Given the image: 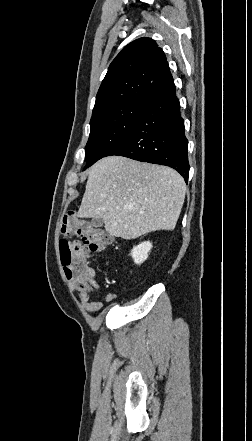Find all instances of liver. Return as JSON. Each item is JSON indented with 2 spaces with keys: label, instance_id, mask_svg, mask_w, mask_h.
Listing matches in <instances>:
<instances>
[{
  "label": "liver",
  "instance_id": "obj_1",
  "mask_svg": "<svg viewBox=\"0 0 252 441\" xmlns=\"http://www.w3.org/2000/svg\"><path fill=\"white\" fill-rule=\"evenodd\" d=\"M186 193L174 169L109 156L89 170L77 216L101 218L114 237L135 239L156 230H173Z\"/></svg>",
  "mask_w": 252,
  "mask_h": 441
}]
</instances>
